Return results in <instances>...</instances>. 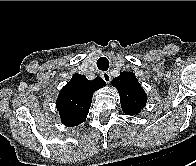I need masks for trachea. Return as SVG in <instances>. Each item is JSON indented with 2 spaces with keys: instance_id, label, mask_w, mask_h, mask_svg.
Here are the masks:
<instances>
[{
  "instance_id": "3493384b",
  "label": "trachea",
  "mask_w": 196,
  "mask_h": 166,
  "mask_svg": "<svg viewBox=\"0 0 196 166\" xmlns=\"http://www.w3.org/2000/svg\"><path fill=\"white\" fill-rule=\"evenodd\" d=\"M97 67L101 71H107L109 68V61L106 57H101L97 60Z\"/></svg>"
}]
</instances>
